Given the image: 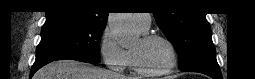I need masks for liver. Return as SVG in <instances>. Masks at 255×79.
I'll return each mask as SVG.
<instances>
[{"label":"liver","mask_w":255,"mask_h":79,"mask_svg":"<svg viewBox=\"0 0 255 79\" xmlns=\"http://www.w3.org/2000/svg\"><path fill=\"white\" fill-rule=\"evenodd\" d=\"M33 79H132L76 60H58L36 72Z\"/></svg>","instance_id":"1"}]
</instances>
